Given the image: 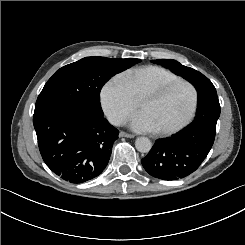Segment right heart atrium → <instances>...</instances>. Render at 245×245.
<instances>
[{
  "label": "right heart atrium",
  "instance_id": "right-heart-atrium-1",
  "mask_svg": "<svg viewBox=\"0 0 245 245\" xmlns=\"http://www.w3.org/2000/svg\"><path fill=\"white\" fill-rule=\"evenodd\" d=\"M100 101L108 119L115 125L124 124L135 110V100L118 77L110 78L103 85Z\"/></svg>",
  "mask_w": 245,
  "mask_h": 245
}]
</instances>
